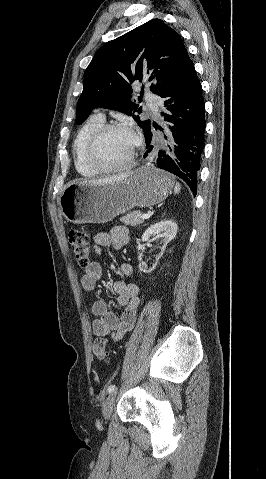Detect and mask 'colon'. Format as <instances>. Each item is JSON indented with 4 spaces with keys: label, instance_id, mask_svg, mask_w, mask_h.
I'll return each mask as SVG.
<instances>
[{
    "label": "colon",
    "instance_id": "5ec220e1",
    "mask_svg": "<svg viewBox=\"0 0 266 479\" xmlns=\"http://www.w3.org/2000/svg\"><path fill=\"white\" fill-rule=\"evenodd\" d=\"M67 239L79 265L82 267H88L91 264L88 233L81 229L71 228L67 233ZM92 350L96 358L108 362L109 357L106 348V340L104 338L95 339Z\"/></svg>",
    "mask_w": 266,
    "mask_h": 479
}]
</instances>
